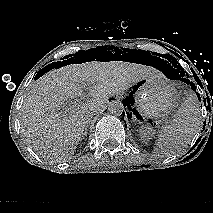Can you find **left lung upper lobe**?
I'll return each instance as SVG.
<instances>
[{"mask_svg": "<svg viewBox=\"0 0 213 213\" xmlns=\"http://www.w3.org/2000/svg\"><path fill=\"white\" fill-rule=\"evenodd\" d=\"M173 61H174V59H173ZM174 63L178 64V62H174ZM174 63H173V64H174ZM178 66H179V65H178ZM174 67H176V68H177V66H176L175 64H174Z\"/></svg>", "mask_w": 213, "mask_h": 213, "instance_id": "5c2ea615", "label": "left lung upper lobe"}]
</instances>
